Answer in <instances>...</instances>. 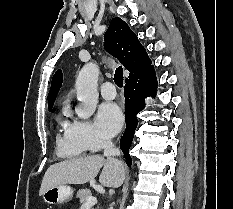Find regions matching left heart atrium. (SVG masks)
Masks as SVG:
<instances>
[{"instance_id":"left-heart-atrium-1","label":"left heart atrium","mask_w":233,"mask_h":209,"mask_svg":"<svg viewBox=\"0 0 233 209\" xmlns=\"http://www.w3.org/2000/svg\"><path fill=\"white\" fill-rule=\"evenodd\" d=\"M96 124L103 136L113 137L123 125V115L120 108L115 103L101 104L97 112Z\"/></svg>"}]
</instances>
